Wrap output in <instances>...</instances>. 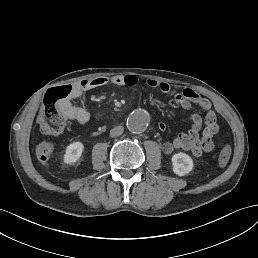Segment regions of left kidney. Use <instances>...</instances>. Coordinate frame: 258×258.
<instances>
[{
	"label": "left kidney",
	"instance_id": "obj_1",
	"mask_svg": "<svg viewBox=\"0 0 258 258\" xmlns=\"http://www.w3.org/2000/svg\"><path fill=\"white\" fill-rule=\"evenodd\" d=\"M173 171L178 176H184L193 169L192 158L185 153H177L172 157Z\"/></svg>",
	"mask_w": 258,
	"mask_h": 258
}]
</instances>
